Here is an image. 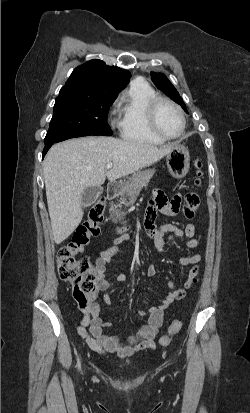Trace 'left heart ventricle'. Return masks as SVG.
<instances>
[{"mask_svg": "<svg viewBox=\"0 0 250 413\" xmlns=\"http://www.w3.org/2000/svg\"><path fill=\"white\" fill-rule=\"evenodd\" d=\"M157 125L163 133L167 135H177L181 131L182 120L172 106L163 103L157 112Z\"/></svg>", "mask_w": 250, "mask_h": 413, "instance_id": "b2bd125f", "label": "left heart ventricle"}]
</instances>
